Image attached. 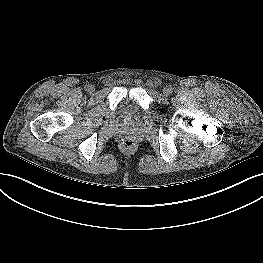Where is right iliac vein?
Wrapping results in <instances>:
<instances>
[{"label":"right iliac vein","mask_w":263,"mask_h":263,"mask_svg":"<svg viewBox=\"0 0 263 263\" xmlns=\"http://www.w3.org/2000/svg\"><path fill=\"white\" fill-rule=\"evenodd\" d=\"M89 91H90V92H94V91H95V88H94V86H92V85H91V86H89Z\"/></svg>","instance_id":"63e3f726"}]
</instances>
